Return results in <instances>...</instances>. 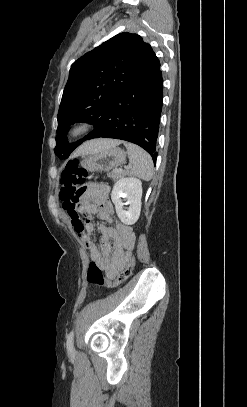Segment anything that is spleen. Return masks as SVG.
I'll use <instances>...</instances> for the list:
<instances>
[{"instance_id": "3e777b00", "label": "spleen", "mask_w": 247, "mask_h": 407, "mask_svg": "<svg viewBox=\"0 0 247 407\" xmlns=\"http://www.w3.org/2000/svg\"><path fill=\"white\" fill-rule=\"evenodd\" d=\"M124 145L131 164L130 174L145 181L151 180L154 173L151 156L135 144L124 142Z\"/></svg>"}]
</instances>
